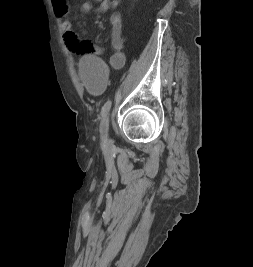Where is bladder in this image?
<instances>
[{"mask_svg":"<svg viewBox=\"0 0 253 267\" xmlns=\"http://www.w3.org/2000/svg\"><path fill=\"white\" fill-rule=\"evenodd\" d=\"M79 76L90 93H100L105 88V64L95 55H85L79 63Z\"/></svg>","mask_w":253,"mask_h":267,"instance_id":"obj_1","label":"bladder"}]
</instances>
